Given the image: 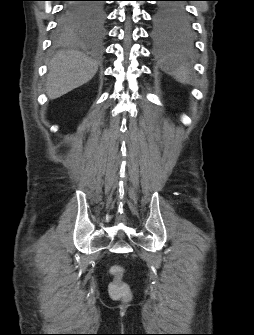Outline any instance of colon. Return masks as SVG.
Masks as SVG:
<instances>
[{
  "instance_id": "5ec220e1",
  "label": "colon",
  "mask_w": 254,
  "mask_h": 335,
  "mask_svg": "<svg viewBox=\"0 0 254 335\" xmlns=\"http://www.w3.org/2000/svg\"><path fill=\"white\" fill-rule=\"evenodd\" d=\"M110 273L113 277L109 284V294L115 299H127L130 296V290L123 281V269L121 266L115 265L111 267Z\"/></svg>"
}]
</instances>
